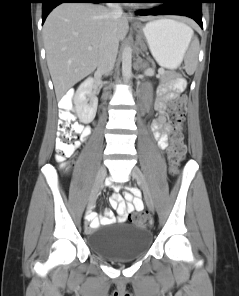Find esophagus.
<instances>
[{"instance_id":"1","label":"esophagus","mask_w":239,"mask_h":296,"mask_svg":"<svg viewBox=\"0 0 239 296\" xmlns=\"http://www.w3.org/2000/svg\"><path fill=\"white\" fill-rule=\"evenodd\" d=\"M130 16H131V18H132V13H130Z\"/></svg>"}]
</instances>
